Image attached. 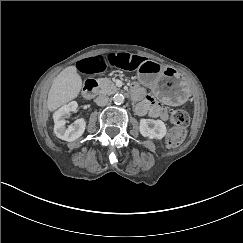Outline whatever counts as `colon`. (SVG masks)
I'll return each mask as SVG.
<instances>
[{"label":"colon","instance_id":"obj_1","mask_svg":"<svg viewBox=\"0 0 243 243\" xmlns=\"http://www.w3.org/2000/svg\"><path fill=\"white\" fill-rule=\"evenodd\" d=\"M170 121L174 125L166 136V142L171 147L180 145L186 137V126L189 123V115L186 111L177 109L170 113Z\"/></svg>","mask_w":243,"mask_h":243}]
</instances>
